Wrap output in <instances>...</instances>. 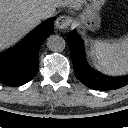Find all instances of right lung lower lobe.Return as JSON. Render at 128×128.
I'll return each instance as SVG.
<instances>
[{"label":"right lung lower lobe","instance_id":"obj_1","mask_svg":"<svg viewBox=\"0 0 128 128\" xmlns=\"http://www.w3.org/2000/svg\"><path fill=\"white\" fill-rule=\"evenodd\" d=\"M54 20L50 19L33 31L14 51L0 56V83L21 86L38 72L41 43L52 33Z\"/></svg>","mask_w":128,"mask_h":128}]
</instances>
